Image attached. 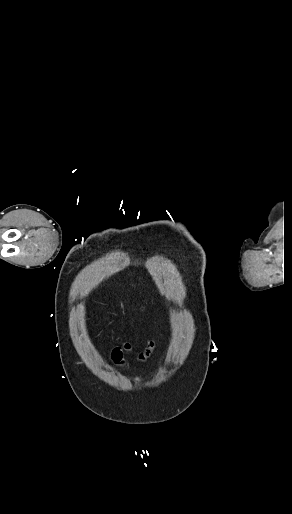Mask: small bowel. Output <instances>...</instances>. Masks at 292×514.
Returning <instances> with one entry per match:
<instances>
[{
	"mask_svg": "<svg viewBox=\"0 0 292 514\" xmlns=\"http://www.w3.org/2000/svg\"><path fill=\"white\" fill-rule=\"evenodd\" d=\"M154 348H155V342L152 340L149 341L147 343L146 348L143 351L136 354V359L139 361L147 360L151 356ZM125 353L133 354L132 346L128 342H122L118 346L113 348V350L111 352L112 361L119 366H124L125 365V359H124Z\"/></svg>",
	"mask_w": 292,
	"mask_h": 514,
	"instance_id": "1",
	"label": "small bowel"
}]
</instances>
